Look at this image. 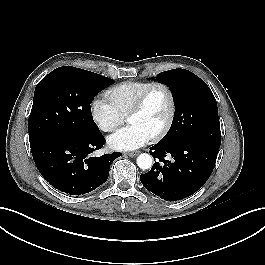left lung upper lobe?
Segmentation results:
<instances>
[{
    "instance_id": "obj_1",
    "label": "left lung upper lobe",
    "mask_w": 265,
    "mask_h": 265,
    "mask_svg": "<svg viewBox=\"0 0 265 265\" xmlns=\"http://www.w3.org/2000/svg\"><path fill=\"white\" fill-rule=\"evenodd\" d=\"M157 80L169 87L175 104L170 130L159 143L200 138L221 144L217 102L206 83L185 69L159 73Z\"/></svg>"
}]
</instances>
